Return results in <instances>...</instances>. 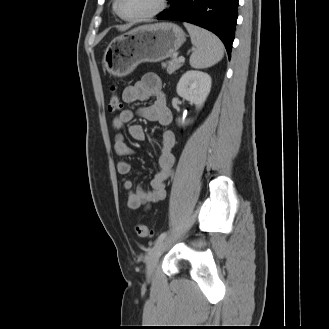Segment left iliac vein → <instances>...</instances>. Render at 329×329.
<instances>
[{"label":"left iliac vein","instance_id":"1","mask_svg":"<svg viewBox=\"0 0 329 329\" xmlns=\"http://www.w3.org/2000/svg\"><path fill=\"white\" fill-rule=\"evenodd\" d=\"M166 245L167 240L163 239L152 248L146 264V275L148 279H150L154 275L157 263Z\"/></svg>","mask_w":329,"mask_h":329}]
</instances>
